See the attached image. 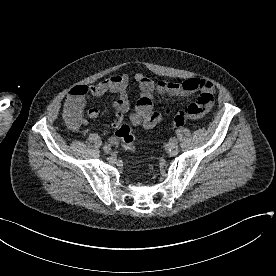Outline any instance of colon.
<instances>
[{"mask_svg": "<svg viewBox=\"0 0 276 276\" xmlns=\"http://www.w3.org/2000/svg\"><path fill=\"white\" fill-rule=\"evenodd\" d=\"M141 104L146 105L147 102L145 100H142ZM197 112H199V109L195 108L192 105H189L173 116V124L176 127L182 126L188 118H191V116ZM69 120L71 122H76V118L73 115L69 116ZM156 120L157 114L153 111H149L145 116L144 122L147 126L152 127L156 124ZM116 136L125 151H134V135L130 125L126 123H120L116 129Z\"/></svg>", "mask_w": 276, "mask_h": 276, "instance_id": "obj_1", "label": "colon"}]
</instances>
